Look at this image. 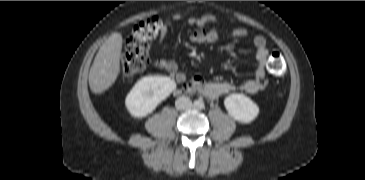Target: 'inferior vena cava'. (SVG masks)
Here are the masks:
<instances>
[{
	"label": "inferior vena cava",
	"instance_id": "1",
	"mask_svg": "<svg viewBox=\"0 0 365 180\" xmlns=\"http://www.w3.org/2000/svg\"><path fill=\"white\" fill-rule=\"evenodd\" d=\"M175 106L178 110H186L192 107V101L190 98L182 96L176 100Z\"/></svg>",
	"mask_w": 365,
	"mask_h": 180
}]
</instances>
